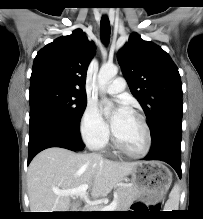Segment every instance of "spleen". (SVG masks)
Segmentation results:
<instances>
[{"instance_id":"1","label":"spleen","mask_w":203,"mask_h":219,"mask_svg":"<svg viewBox=\"0 0 203 219\" xmlns=\"http://www.w3.org/2000/svg\"><path fill=\"white\" fill-rule=\"evenodd\" d=\"M179 195H180V188L178 184H175L169 194V199L165 204V209H166L165 211L178 210Z\"/></svg>"}]
</instances>
